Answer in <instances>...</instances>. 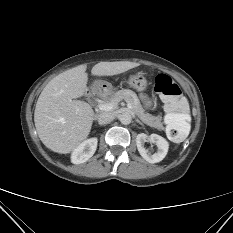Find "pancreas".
I'll return each mask as SVG.
<instances>
[{
    "mask_svg": "<svg viewBox=\"0 0 233 233\" xmlns=\"http://www.w3.org/2000/svg\"><path fill=\"white\" fill-rule=\"evenodd\" d=\"M122 99H125L129 101L132 105V111L139 117V119L145 123L146 125L150 127H154L158 130H164V126L161 122V119L159 117L152 116L149 113H145L144 109L136 95L135 92L129 89H122L114 94H112L110 97H107L104 99V102H111L114 101L118 104L119 101Z\"/></svg>",
    "mask_w": 233,
    "mask_h": 233,
    "instance_id": "pancreas-1",
    "label": "pancreas"
}]
</instances>
